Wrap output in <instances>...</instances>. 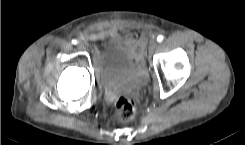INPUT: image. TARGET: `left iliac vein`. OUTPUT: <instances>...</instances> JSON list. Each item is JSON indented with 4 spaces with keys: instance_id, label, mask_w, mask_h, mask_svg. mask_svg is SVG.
Masks as SVG:
<instances>
[{
    "instance_id": "obj_1",
    "label": "left iliac vein",
    "mask_w": 245,
    "mask_h": 145,
    "mask_svg": "<svg viewBox=\"0 0 245 145\" xmlns=\"http://www.w3.org/2000/svg\"><path fill=\"white\" fill-rule=\"evenodd\" d=\"M156 47H157V41L153 39L149 45V49H148L149 54H152L155 51Z\"/></svg>"
}]
</instances>
